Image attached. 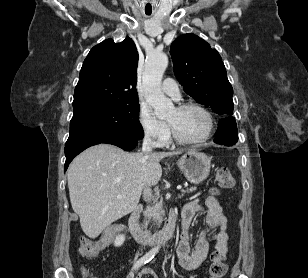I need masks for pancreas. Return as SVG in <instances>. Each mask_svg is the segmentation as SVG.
<instances>
[{"instance_id":"1","label":"pancreas","mask_w":308,"mask_h":278,"mask_svg":"<svg viewBox=\"0 0 308 278\" xmlns=\"http://www.w3.org/2000/svg\"><path fill=\"white\" fill-rule=\"evenodd\" d=\"M195 188L187 189V190H182V193H190L193 192ZM150 220L156 221L160 223L163 221V204L161 202L156 203V205L152 208H149L144 216V222L143 225L144 227H147Z\"/></svg>"}]
</instances>
